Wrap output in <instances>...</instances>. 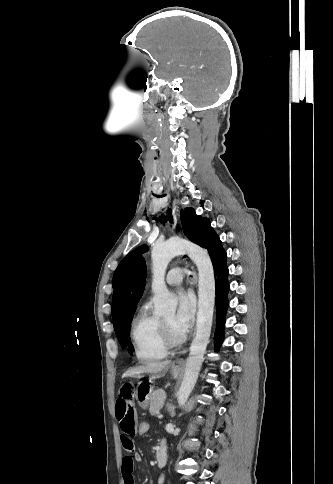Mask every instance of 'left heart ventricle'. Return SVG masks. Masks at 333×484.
<instances>
[{"label":"left heart ventricle","mask_w":333,"mask_h":484,"mask_svg":"<svg viewBox=\"0 0 333 484\" xmlns=\"http://www.w3.org/2000/svg\"><path fill=\"white\" fill-rule=\"evenodd\" d=\"M173 318H174V314L170 313V314L164 316L162 319L169 325L170 329L172 330V332L174 334L180 335V333H178L173 326Z\"/></svg>","instance_id":"obj_1"}]
</instances>
